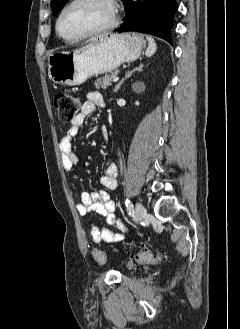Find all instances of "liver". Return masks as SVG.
<instances>
[{
	"label": "liver",
	"mask_w": 240,
	"mask_h": 329,
	"mask_svg": "<svg viewBox=\"0 0 240 329\" xmlns=\"http://www.w3.org/2000/svg\"><path fill=\"white\" fill-rule=\"evenodd\" d=\"M95 40H96V38L91 39V40H90V44H91L93 41H95ZM90 44H89V45H90ZM86 47H87V46H86ZM84 48H85V47H84ZM82 49H83V48H82Z\"/></svg>",
	"instance_id": "liver-1"
}]
</instances>
